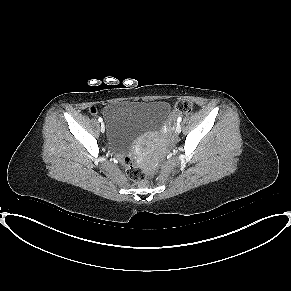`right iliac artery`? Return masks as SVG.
I'll return each mask as SVG.
<instances>
[{
  "mask_svg": "<svg viewBox=\"0 0 291 291\" xmlns=\"http://www.w3.org/2000/svg\"><path fill=\"white\" fill-rule=\"evenodd\" d=\"M98 121H99V122H102V118H101V117H99V118H98Z\"/></svg>",
  "mask_w": 291,
  "mask_h": 291,
  "instance_id": "1",
  "label": "right iliac artery"
}]
</instances>
